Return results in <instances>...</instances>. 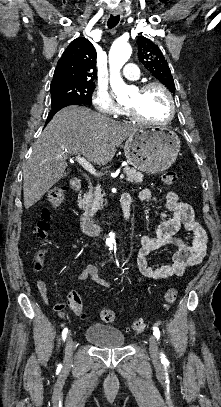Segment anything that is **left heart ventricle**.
<instances>
[{"mask_svg":"<svg viewBox=\"0 0 221 407\" xmlns=\"http://www.w3.org/2000/svg\"><path fill=\"white\" fill-rule=\"evenodd\" d=\"M126 106L137 108L144 118L152 121L164 120L169 113L167 97L165 93L158 88H151L145 94H140L137 90Z\"/></svg>","mask_w":221,"mask_h":407,"instance_id":"1","label":"left heart ventricle"}]
</instances>
